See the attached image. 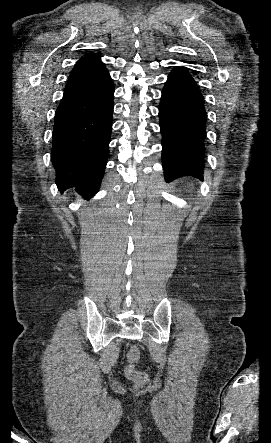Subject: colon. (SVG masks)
I'll list each match as a JSON object with an SVG mask.
<instances>
[{
	"mask_svg": "<svg viewBox=\"0 0 271 443\" xmlns=\"http://www.w3.org/2000/svg\"><path fill=\"white\" fill-rule=\"evenodd\" d=\"M141 357L140 349L137 346H131L127 352V364L125 375L137 386H143L148 381L147 373L137 368V363Z\"/></svg>",
	"mask_w": 271,
	"mask_h": 443,
	"instance_id": "obj_1",
	"label": "colon"
}]
</instances>
